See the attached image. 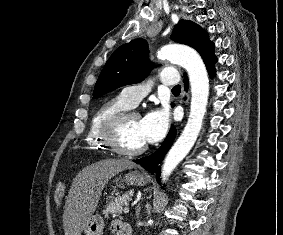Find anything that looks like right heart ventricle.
Wrapping results in <instances>:
<instances>
[{
    "mask_svg": "<svg viewBox=\"0 0 283 235\" xmlns=\"http://www.w3.org/2000/svg\"><path fill=\"white\" fill-rule=\"evenodd\" d=\"M131 106L122 98L121 95L108 99L103 102L94 112L89 122L86 143L87 146L94 150H106L100 135L104 122L112 115L130 109Z\"/></svg>",
    "mask_w": 283,
    "mask_h": 235,
    "instance_id": "right-heart-ventricle-1",
    "label": "right heart ventricle"
}]
</instances>
